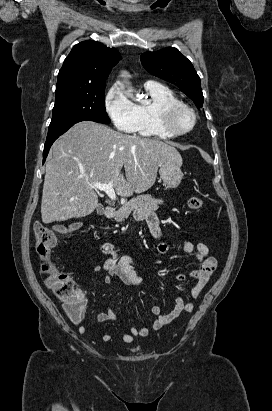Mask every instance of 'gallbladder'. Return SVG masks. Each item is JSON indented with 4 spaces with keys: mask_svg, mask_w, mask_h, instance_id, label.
Here are the masks:
<instances>
[{
    "mask_svg": "<svg viewBox=\"0 0 272 411\" xmlns=\"http://www.w3.org/2000/svg\"><path fill=\"white\" fill-rule=\"evenodd\" d=\"M97 213L100 214V215L104 213V208H103V206L99 205V206L97 207Z\"/></svg>",
    "mask_w": 272,
    "mask_h": 411,
    "instance_id": "gallbladder-1",
    "label": "gallbladder"
}]
</instances>
